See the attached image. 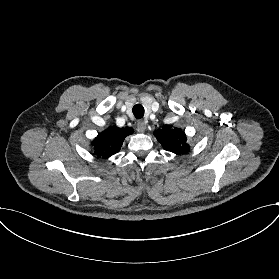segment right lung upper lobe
Listing matches in <instances>:
<instances>
[{"label":"right lung upper lobe","mask_w":279,"mask_h":279,"mask_svg":"<svg viewBox=\"0 0 279 279\" xmlns=\"http://www.w3.org/2000/svg\"><path fill=\"white\" fill-rule=\"evenodd\" d=\"M132 133L133 129L129 127H109L99 133L98 137L92 142L95 154L99 157L109 158L120 150L124 138Z\"/></svg>","instance_id":"obj_1"}]
</instances>
